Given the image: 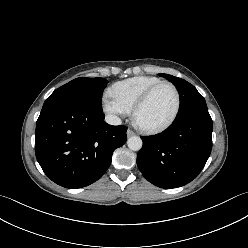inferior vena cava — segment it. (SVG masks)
Returning <instances> with one entry per match:
<instances>
[{
	"label": "inferior vena cava",
	"instance_id": "inferior-vena-cava-1",
	"mask_svg": "<svg viewBox=\"0 0 248 248\" xmlns=\"http://www.w3.org/2000/svg\"><path fill=\"white\" fill-rule=\"evenodd\" d=\"M105 121L110 125H120L122 123L121 119L118 116L113 115V114L106 115Z\"/></svg>",
	"mask_w": 248,
	"mask_h": 248
}]
</instances>
